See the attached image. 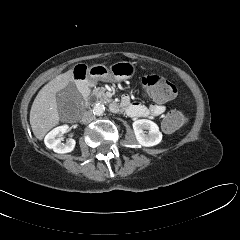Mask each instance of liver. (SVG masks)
<instances>
[{
  "instance_id": "1",
  "label": "liver",
  "mask_w": 240,
  "mask_h": 240,
  "mask_svg": "<svg viewBox=\"0 0 240 240\" xmlns=\"http://www.w3.org/2000/svg\"><path fill=\"white\" fill-rule=\"evenodd\" d=\"M73 81V70H69L56 76L38 92L30 111V124L37 139L42 140L59 123L56 94Z\"/></svg>"
}]
</instances>
